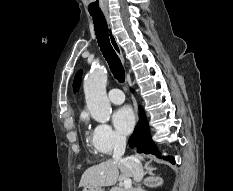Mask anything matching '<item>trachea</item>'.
Returning <instances> with one entry per match:
<instances>
[{
	"label": "trachea",
	"mask_w": 233,
	"mask_h": 191,
	"mask_svg": "<svg viewBox=\"0 0 233 191\" xmlns=\"http://www.w3.org/2000/svg\"><path fill=\"white\" fill-rule=\"evenodd\" d=\"M94 22L95 35L100 47V50L108 62L109 68L114 77L119 81H124V68L116 54L115 50L111 46L109 41V30L106 19L103 14H91Z\"/></svg>",
	"instance_id": "3493384b"
}]
</instances>
